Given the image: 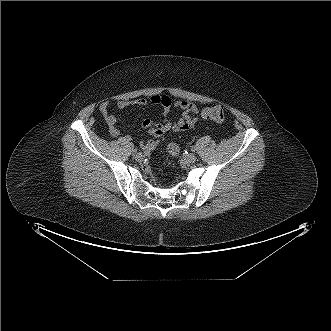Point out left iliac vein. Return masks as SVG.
<instances>
[{
  "label": "left iliac vein",
  "instance_id": "4c4485c4",
  "mask_svg": "<svg viewBox=\"0 0 331 331\" xmlns=\"http://www.w3.org/2000/svg\"><path fill=\"white\" fill-rule=\"evenodd\" d=\"M186 160L190 163H194L197 160V157L194 154H188Z\"/></svg>",
  "mask_w": 331,
  "mask_h": 331
}]
</instances>
